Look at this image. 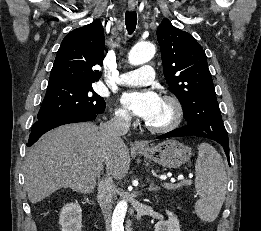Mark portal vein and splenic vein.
Here are the masks:
<instances>
[{"mask_svg":"<svg viewBox=\"0 0 261 231\" xmlns=\"http://www.w3.org/2000/svg\"><path fill=\"white\" fill-rule=\"evenodd\" d=\"M175 183V180L174 179H171V183H164V185H172V186H179L181 184H191V180H182L179 184H174Z\"/></svg>","mask_w":261,"mask_h":231,"instance_id":"portal-vein-and-splenic-vein-1","label":"portal vein and splenic vein"}]
</instances>
